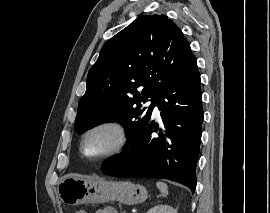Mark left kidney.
Returning <instances> with one entry per match:
<instances>
[{"instance_id": "left-kidney-1", "label": "left kidney", "mask_w": 270, "mask_h": 213, "mask_svg": "<svg viewBox=\"0 0 270 213\" xmlns=\"http://www.w3.org/2000/svg\"><path fill=\"white\" fill-rule=\"evenodd\" d=\"M147 213H177V210L169 205L161 204L154 206Z\"/></svg>"}]
</instances>
